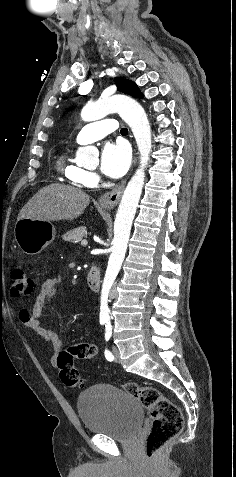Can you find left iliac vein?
I'll return each mask as SVG.
<instances>
[{
  "label": "left iliac vein",
  "instance_id": "left-iliac-vein-1",
  "mask_svg": "<svg viewBox=\"0 0 236 477\" xmlns=\"http://www.w3.org/2000/svg\"><path fill=\"white\" fill-rule=\"evenodd\" d=\"M112 351L115 357V361L120 362V354L118 348L116 346H113Z\"/></svg>",
  "mask_w": 236,
  "mask_h": 477
}]
</instances>
